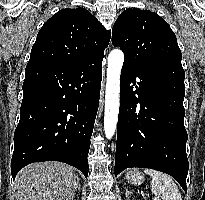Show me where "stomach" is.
<instances>
[{"label": "stomach", "instance_id": "0dacf381", "mask_svg": "<svg viewBox=\"0 0 205 200\" xmlns=\"http://www.w3.org/2000/svg\"><path fill=\"white\" fill-rule=\"evenodd\" d=\"M126 177L129 180V182H131L134 185H139L144 182V176L138 170H134L132 172L127 173Z\"/></svg>", "mask_w": 205, "mask_h": 200}]
</instances>
